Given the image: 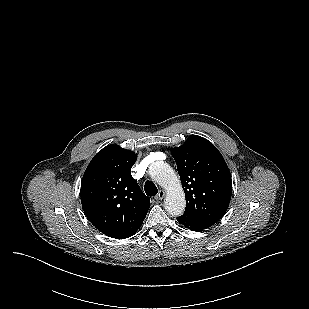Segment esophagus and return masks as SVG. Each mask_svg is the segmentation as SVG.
<instances>
[{
	"mask_svg": "<svg viewBox=\"0 0 309 309\" xmlns=\"http://www.w3.org/2000/svg\"><path fill=\"white\" fill-rule=\"evenodd\" d=\"M165 197V191L163 189L159 190L158 194L155 196L156 200H162Z\"/></svg>",
	"mask_w": 309,
	"mask_h": 309,
	"instance_id": "34e87169",
	"label": "esophagus"
}]
</instances>
